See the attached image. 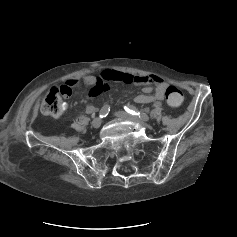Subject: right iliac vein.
Returning a JSON list of instances; mask_svg holds the SVG:
<instances>
[{"mask_svg": "<svg viewBox=\"0 0 237 237\" xmlns=\"http://www.w3.org/2000/svg\"><path fill=\"white\" fill-rule=\"evenodd\" d=\"M101 123H102L101 118L97 117V118H95V119L92 121V126H93L94 128H99L100 125H101Z\"/></svg>", "mask_w": 237, "mask_h": 237, "instance_id": "1", "label": "right iliac vein"}]
</instances>
